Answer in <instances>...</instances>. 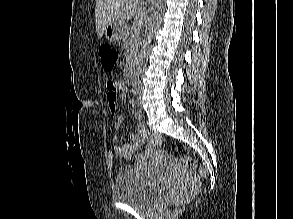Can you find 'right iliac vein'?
<instances>
[{"instance_id":"63e3f726","label":"right iliac vein","mask_w":293,"mask_h":219,"mask_svg":"<svg viewBox=\"0 0 293 219\" xmlns=\"http://www.w3.org/2000/svg\"><path fill=\"white\" fill-rule=\"evenodd\" d=\"M138 105L141 106V103L139 102Z\"/></svg>"}]
</instances>
